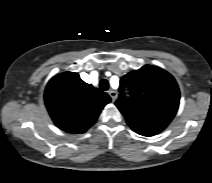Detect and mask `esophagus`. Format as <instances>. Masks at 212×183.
Instances as JSON below:
<instances>
[{
  "label": "esophagus",
  "instance_id": "1",
  "mask_svg": "<svg viewBox=\"0 0 212 183\" xmlns=\"http://www.w3.org/2000/svg\"><path fill=\"white\" fill-rule=\"evenodd\" d=\"M109 96L111 97L112 101H115L117 98V92L114 90H109L108 91Z\"/></svg>",
  "mask_w": 212,
  "mask_h": 183
}]
</instances>
